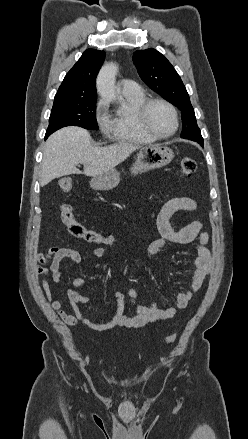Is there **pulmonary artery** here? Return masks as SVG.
Returning <instances> with one entry per match:
<instances>
[{
    "label": "pulmonary artery",
    "instance_id": "1",
    "mask_svg": "<svg viewBox=\"0 0 248 439\" xmlns=\"http://www.w3.org/2000/svg\"><path fill=\"white\" fill-rule=\"evenodd\" d=\"M120 85L124 93H135L141 89L136 82L130 79H123Z\"/></svg>",
    "mask_w": 248,
    "mask_h": 439
}]
</instances>
